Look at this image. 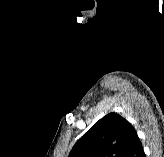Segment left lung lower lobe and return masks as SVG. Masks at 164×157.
Instances as JSON below:
<instances>
[{
	"instance_id": "obj_1",
	"label": "left lung lower lobe",
	"mask_w": 164,
	"mask_h": 157,
	"mask_svg": "<svg viewBox=\"0 0 164 157\" xmlns=\"http://www.w3.org/2000/svg\"><path fill=\"white\" fill-rule=\"evenodd\" d=\"M122 157H145L142 144L137 134L132 138Z\"/></svg>"
}]
</instances>
